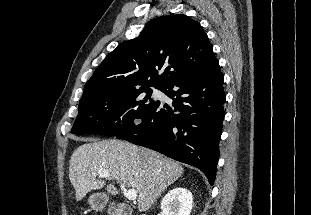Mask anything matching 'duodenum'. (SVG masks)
<instances>
[{"mask_svg": "<svg viewBox=\"0 0 311 215\" xmlns=\"http://www.w3.org/2000/svg\"><path fill=\"white\" fill-rule=\"evenodd\" d=\"M114 215H133L131 208L126 204H118L114 208ZM145 215V214H141Z\"/></svg>", "mask_w": 311, "mask_h": 215, "instance_id": "410a0bca", "label": "duodenum"}]
</instances>
